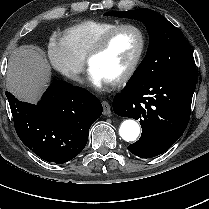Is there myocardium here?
Instances as JSON below:
<instances>
[{"mask_svg":"<svg viewBox=\"0 0 209 209\" xmlns=\"http://www.w3.org/2000/svg\"><path fill=\"white\" fill-rule=\"evenodd\" d=\"M128 29L134 30L138 33L139 39H140V46H139V49H138V52H137L135 58L133 59L131 65L129 66L127 71L118 79L113 80V81H108V83L113 86H120V85H124V84L128 83L136 74L138 67L143 59L144 54H145L146 47H147V37H146L144 30L142 28H140L138 25H135L132 23H123V24H119L117 26H114L113 28L106 31L96 41V43L93 45V47L88 52V54L85 58L87 65L90 66L92 60L95 57H97L98 55H100L106 49V47L108 46V44L114 34H116L119 31L128 30Z\"/></svg>","mask_w":209,"mask_h":209,"instance_id":"1","label":"myocardium"}]
</instances>
